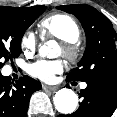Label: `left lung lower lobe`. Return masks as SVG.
<instances>
[{
  "instance_id": "obj_1",
  "label": "left lung lower lobe",
  "mask_w": 117,
  "mask_h": 117,
  "mask_svg": "<svg viewBox=\"0 0 117 117\" xmlns=\"http://www.w3.org/2000/svg\"><path fill=\"white\" fill-rule=\"evenodd\" d=\"M68 81H70L67 78ZM80 91L83 101L79 109L70 115L58 117H111L117 108V75L93 78Z\"/></svg>"
}]
</instances>
